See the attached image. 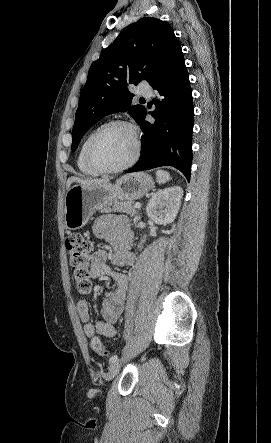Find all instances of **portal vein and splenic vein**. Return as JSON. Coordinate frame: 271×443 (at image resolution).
Returning a JSON list of instances; mask_svg holds the SVG:
<instances>
[{"instance_id":"obj_1","label":"portal vein and splenic vein","mask_w":271,"mask_h":443,"mask_svg":"<svg viewBox=\"0 0 271 443\" xmlns=\"http://www.w3.org/2000/svg\"><path fill=\"white\" fill-rule=\"evenodd\" d=\"M135 208H141V204H139V202H137V204H135Z\"/></svg>"}]
</instances>
